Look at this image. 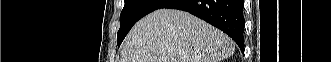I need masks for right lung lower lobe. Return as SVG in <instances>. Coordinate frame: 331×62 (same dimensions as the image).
Returning a JSON list of instances; mask_svg holds the SVG:
<instances>
[{
  "mask_svg": "<svg viewBox=\"0 0 331 62\" xmlns=\"http://www.w3.org/2000/svg\"><path fill=\"white\" fill-rule=\"evenodd\" d=\"M163 8L187 11L229 35L244 51L243 0H172Z\"/></svg>",
  "mask_w": 331,
  "mask_h": 62,
  "instance_id": "right-lung-lower-lobe-1",
  "label": "right lung lower lobe"
}]
</instances>
